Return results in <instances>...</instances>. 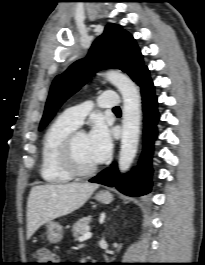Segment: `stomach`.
Here are the masks:
<instances>
[{
	"mask_svg": "<svg viewBox=\"0 0 205 265\" xmlns=\"http://www.w3.org/2000/svg\"><path fill=\"white\" fill-rule=\"evenodd\" d=\"M95 199L103 204H109L113 200V196L108 191H100L96 193ZM47 227V239L51 243H57L60 242L63 237V229L62 226L54 221H50L46 225Z\"/></svg>",
	"mask_w": 205,
	"mask_h": 265,
	"instance_id": "stomach-1",
	"label": "stomach"
}]
</instances>
